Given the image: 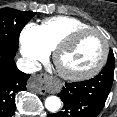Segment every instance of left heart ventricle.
I'll return each instance as SVG.
<instances>
[{"instance_id":"obj_1","label":"left heart ventricle","mask_w":117,"mask_h":117,"mask_svg":"<svg viewBox=\"0 0 117 117\" xmlns=\"http://www.w3.org/2000/svg\"><path fill=\"white\" fill-rule=\"evenodd\" d=\"M103 53V41L94 33L79 36L60 59L61 67L69 72L79 73L97 64Z\"/></svg>"}]
</instances>
